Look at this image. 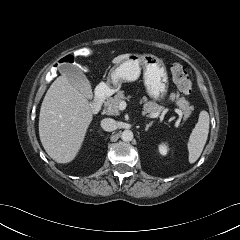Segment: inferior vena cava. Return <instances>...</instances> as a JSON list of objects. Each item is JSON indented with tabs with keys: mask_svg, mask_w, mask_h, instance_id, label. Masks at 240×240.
<instances>
[{
	"mask_svg": "<svg viewBox=\"0 0 240 240\" xmlns=\"http://www.w3.org/2000/svg\"><path fill=\"white\" fill-rule=\"evenodd\" d=\"M101 127L105 131H114L117 128V122L111 118H105L101 121Z\"/></svg>",
	"mask_w": 240,
	"mask_h": 240,
	"instance_id": "inferior-vena-cava-1",
	"label": "inferior vena cava"
}]
</instances>
